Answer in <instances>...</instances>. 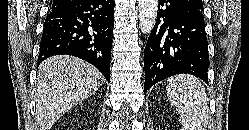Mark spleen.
<instances>
[{
  "mask_svg": "<svg viewBox=\"0 0 249 130\" xmlns=\"http://www.w3.org/2000/svg\"><path fill=\"white\" fill-rule=\"evenodd\" d=\"M166 89L170 103L180 115L183 130H206L209 108L201 81L195 76L181 74L169 78Z\"/></svg>",
  "mask_w": 249,
  "mask_h": 130,
  "instance_id": "spleen-1",
  "label": "spleen"
}]
</instances>
